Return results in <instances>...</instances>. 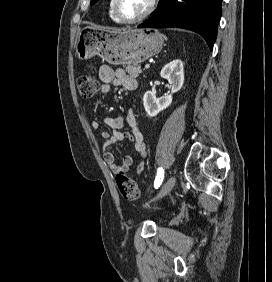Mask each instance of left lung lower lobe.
Returning a JSON list of instances; mask_svg holds the SVG:
<instances>
[{
  "mask_svg": "<svg viewBox=\"0 0 272 282\" xmlns=\"http://www.w3.org/2000/svg\"><path fill=\"white\" fill-rule=\"evenodd\" d=\"M222 0H160L155 14L138 28L179 27L199 33L212 50Z\"/></svg>",
  "mask_w": 272,
  "mask_h": 282,
  "instance_id": "0a47b994",
  "label": "left lung lower lobe"
}]
</instances>
